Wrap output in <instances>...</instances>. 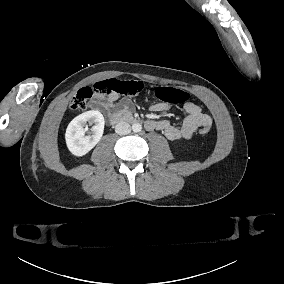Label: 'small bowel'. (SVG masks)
I'll list each match as a JSON object with an SVG mask.
<instances>
[{"mask_svg": "<svg viewBox=\"0 0 284 284\" xmlns=\"http://www.w3.org/2000/svg\"><path fill=\"white\" fill-rule=\"evenodd\" d=\"M98 108L104 110H122L132 112L134 110L133 102L127 98H119V95L112 93L107 97L94 101ZM169 109L166 103L160 102L151 106L154 112H164ZM184 119L181 126H175L168 120H149L146 122V128L149 130L162 131L169 140H188L194 132L203 126H211V117L192 102H187L183 106Z\"/></svg>", "mask_w": 284, "mask_h": 284, "instance_id": "c3829d8e", "label": "small bowel"}]
</instances>
